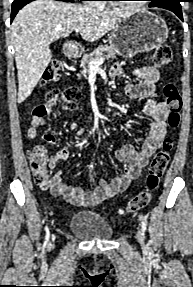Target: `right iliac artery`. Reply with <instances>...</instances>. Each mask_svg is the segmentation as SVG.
Here are the masks:
<instances>
[{
    "label": "right iliac artery",
    "mask_w": 193,
    "mask_h": 287,
    "mask_svg": "<svg viewBox=\"0 0 193 287\" xmlns=\"http://www.w3.org/2000/svg\"><path fill=\"white\" fill-rule=\"evenodd\" d=\"M45 233H46V237H45V244L47 243L48 239H49V229L48 226L45 227Z\"/></svg>",
    "instance_id": "1"
}]
</instances>
